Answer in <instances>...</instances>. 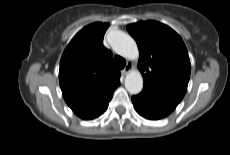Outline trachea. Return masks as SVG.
<instances>
[{
	"mask_svg": "<svg viewBox=\"0 0 230 155\" xmlns=\"http://www.w3.org/2000/svg\"><path fill=\"white\" fill-rule=\"evenodd\" d=\"M114 64L118 69H123L126 65V61L124 58L120 56H115L114 57Z\"/></svg>",
	"mask_w": 230,
	"mask_h": 155,
	"instance_id": "3493384b",
	"label": "trachea"
}]
</instances>
